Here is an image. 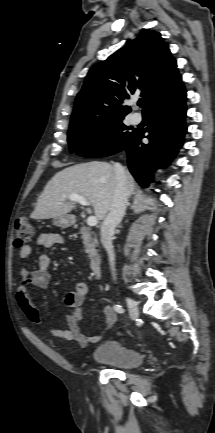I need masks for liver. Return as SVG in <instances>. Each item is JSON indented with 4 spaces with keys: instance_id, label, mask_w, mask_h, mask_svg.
I'll use <instances>...</instances> for the list:
<instances>
[{
    "instance_id": "1",
    "label": "liver",
    "mask_w": 215,
    "mask_h": 433,
    "mask_svg": "<svg viewBox=\"0 0 215 433\" xmlns=\"http://www.w3.org/2000/svg\"><path fill=\"white\" fill-rule=\"evenodd\" d=\"M127 195L133 194L135 183L132 175L125 172ZM117 186L114 166L102 161H91L67 167L47 183L37 200L31 218L41 220L68 214L74 207L66 200L76 194L89 200L97 219L102 220L109 212Z\"/></svg>"
}]
</instances>
